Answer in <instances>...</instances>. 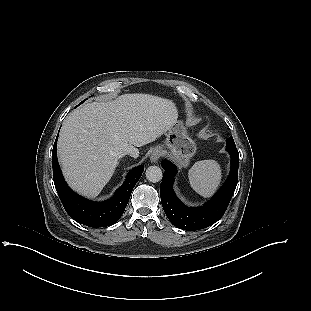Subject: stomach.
<instances>
[{
	"label": "stomach",
	"mask_w": 311,
	"mask_h": 311,
	"mask_svg": "<svg viewBox=\"0 0 311 311\" xmlns=\"http://www.w3.org/2000/svg\"><path fill=\"white\" fill-rule=\"evenodd\" d=\"M160 148L163 153H167L182 168L189 165L190 159L196 152L195 143L188 136L187 130L181 122L175 124L166 133L165 144Z\"/></svg>",
	"instance_id": "stomach-1"
}]
</instances>
